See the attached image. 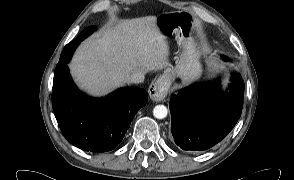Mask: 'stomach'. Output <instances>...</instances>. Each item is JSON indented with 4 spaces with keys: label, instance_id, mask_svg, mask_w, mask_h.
Segmentation results:
<instances>
[{
    "label": "stomach",
    "instance_id": "1",
    "mask_svg": "<svg viewBox=\"0 0 294 180\" xmlns=\"http://www.w3.org/2000/svg\"><path fill=\"white\" fill-rule=\"evenodd\" d=\"M156 25L164 36L175 35L183 48L176 60V66L167 71L168 82H172L176 77H180L183 84L199 79L202 66L194 39L195 20L191 14L185 11L165 12L156 17Z\"/></svg>",
    "mask_w": 294,
    "mask_h": 180
}]
</instances>
